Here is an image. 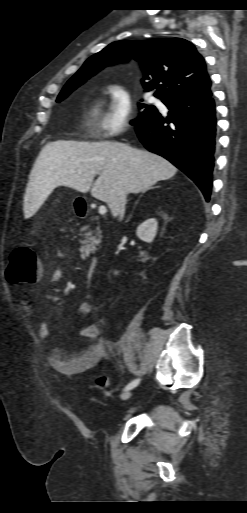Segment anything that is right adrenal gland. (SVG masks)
<instances>
[{
    "mask_svg": "<svg viewBox=\"0 0 247 513\" xmlns=\"http://www.w3.org/2000/svg\"><path fill=\"white\" fill-rule=\"evenodd\" d=\"M145 192H146V190H144V191L142 192L141 196H142ZM141 196H140V197H141ZM138 201H139V200H137V201H136L135 206H136V204L138 203ZM134 208H135V207H134Z\"/></svg>",
    "mask_w": 247,
    "mask_h": 513,
    "instance_id": "right-adrenal-gland-1",
    "label": "right adrenal gland"
}]
</instances>
